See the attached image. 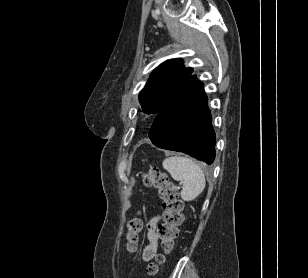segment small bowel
Here are the masks:
<instances>
[{
  "label": "small bowel",
  "instance_id": "small-bowel-1",
  "mask_svg": "<svg viewBox=\"0 0 308 278\" xmlns=\"http://www.w3.org/2000/svg\"><path fill=\"white\" fill-rule=\"evenodd\" d=\"M160 218L159 217H154L152 218L149 223L147 224V238H148V245L143 250V259L145 261H148L152 259L157 251V233H156V227L159 222Z\"/></svg>",
  "mask_w": 308,
  "mask_h": 278
}]
</instances>
